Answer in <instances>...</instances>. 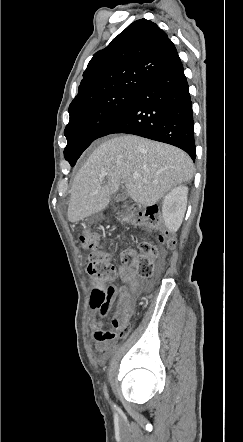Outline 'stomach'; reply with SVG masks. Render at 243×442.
Here are the masks:
<instances>
[{"mask_svg": "<svg viewBox=\"0 0 243 442\" xmlns=\"http://www.w3.org/2000/svg\"><path fill=\"white\" fill-rule=\"evenodd\" d=\"M101 218H103L102 214H98L94 217L95 220H100Z\"/></svg>", "mask_w": 243, "mask_h": 442, "instance_id": "1", "label": "stomach"}]
</instances>
